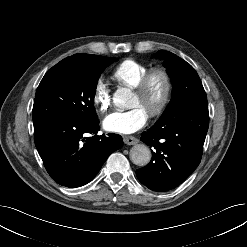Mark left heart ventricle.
I'll return each instance as SVG.
<instances>
[{"instance_id": "1", "label": "left heart ventricle", "mask_w": 247, "mask_h": 247, "mask_svg": "<svg viewBox=\"0 0 247 247\" xmlns=\"http://www.w3.org/2000/svg\"><path fill=\"white\" fill-rule=\"evenodd\" d=\"M163 91L164 83L162 78L155 77L152 80L148 93L145 97H140L134 93L131 106H141L149 113V111L153 109L161 100Z\"/></svg>"}]
</instances>
